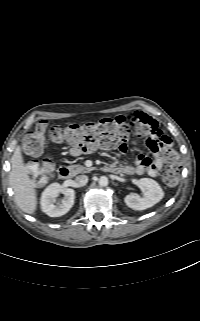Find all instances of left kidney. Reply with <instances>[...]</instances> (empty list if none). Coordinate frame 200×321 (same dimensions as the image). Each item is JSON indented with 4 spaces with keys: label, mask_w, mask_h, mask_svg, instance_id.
I'll return each instance as SVG.
<instances>
[{
    "label": "left kidney",
    "mask_w": 200,
    "mask_h": 321,
    "mask_svg": "<svg viewBox=\"0 0 200 321\" xmlns=\"http://www.w3.org/2000/svg\"><path fill=\"white\" fill-rule=\"evenodd\" d=\"M140 188H144L143 196L137 194L127 195L124 199L126 205L133 210H145L154 206L163 197L164 192L160 185L153 179L141 178L136 183Z\"/></svg>",
    "instance_id": "obj_1"
}]
</instances>
